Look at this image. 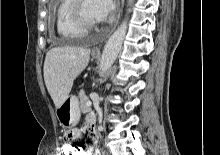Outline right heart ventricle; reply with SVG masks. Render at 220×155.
Wrapping results in <instances>:
<instances>
[{
  "instance_id": "e07e8e85",
  "label": "right heart ventricle",
  "mask_w": 220,
  "mask_h": 155,
  "mask_svg": "<svg viewBox=\"0 0 220 155\" xmlns=\"http://www.w3.org/2000/svg\"><path fill=\"white\" fill-rule=\"evenodd\" d=\"M73 0H60L56 9V29L60 36L66 39L81 38L86 31L76 26L70 17Z\"/></svg>"
}]
</instances>
